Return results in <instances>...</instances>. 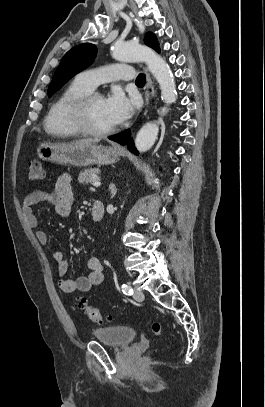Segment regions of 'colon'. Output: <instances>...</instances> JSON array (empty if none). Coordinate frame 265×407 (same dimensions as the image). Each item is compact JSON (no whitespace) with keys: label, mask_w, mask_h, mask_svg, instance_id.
<instances>
[{"label":"colon","mask_w":265,"mask_h":407,"mask_svg":"<svg viewBox=\"0 0 265 407\" xmlns=\"http://www.w3.org/2000/svg\"><path fill=\"white\" fill-rule=\"evenodd\" d=\"M43 178H44V170H43L42 163L39 160H32L29 163L28 179L31 182H36V181L42 180ZM75 307L78 309L84 310L87 313L89 319L95 323H102L105 320V317L102 314V312L97 308L90 307L84 298H77L75 300ZM106 319L110 320V317H107ZM152 331L154 334H156L158 336H167L168 337L169 342L167 344V347L169 349H171L174 346L172 338L168 334H166L161 322L154 321L152 323Z\"/></svg>","instance_id":"1"}]
</instances>
